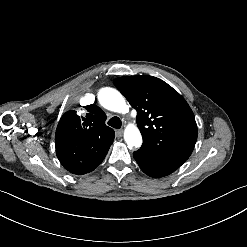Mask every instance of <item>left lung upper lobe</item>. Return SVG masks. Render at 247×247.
<instances>
[{
    "label": "left lung upper lobe",
    "instance_id": "1",
    "mask_svg": "<svg viewBox=\"0 0 247 247\" xmlns=\"http://www.w3.org/2000/svg\"><path fill=\"white\" fill-rule=\"evenodd\" d=\"M137 114L142 148L183 164L197 140L194 114L170 85L153 76H127L113 81Z\"/></svg>",
    "mask_w": 247,
    "mask_h": 247
}]
</instances>
